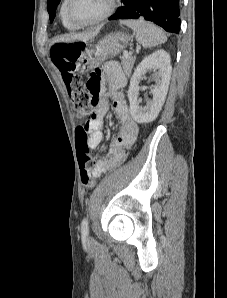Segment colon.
<instances>
[{
	"mask_svg": "<svg viewBox=\"0 0 227 298\" xmlns=\"http://www.w3.org/2000/svg\"><path fill=\"white\" fill-rule=\"evenodd\" d=\"M84 50V44L80 42H58L51 48V56L54 64L61 72L63 81L67 87L68 93L72 97L73 108L76 111L80 126L76 130V149L78 153V161L81 167V180L85 186H92L94 178L90 170L94 167V161L89 156V135L84 129L85 125H89V110L93 104L90 103V92L87 87L75 75L76 63Z\"/></svg>",
	"mask_w": 227,
	"mask_h": 298,
	"instance_id": "obj_1",
	"label": "colon"
}]
</instances>
